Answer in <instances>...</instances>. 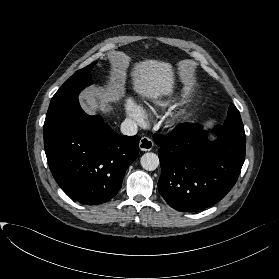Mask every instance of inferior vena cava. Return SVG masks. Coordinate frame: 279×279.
Segmentation results:
<instances>
[{"label":"inferior vena cava","mask_w":279,"mask_h":279,"mask_svg":"<svg viewBox=\"0 0 279 279\" xmlns=\"http://www.w3.org/2000/svg\"><path fill=\"white\" fill-rule=\"evenodd\" d=\"M120 129L124 135H128V136L136 135L138 131L137 124L131 119L124 120L121 124Z\"/></svg>","instance_id":"inferior-vena-cava-1"}]
</instances>
